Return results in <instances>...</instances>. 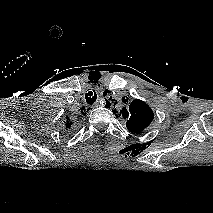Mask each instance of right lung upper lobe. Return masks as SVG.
Here are the masks:
<instances>
[{"label": "right lung upper lobe", "mask_w": 213, "mask_h": 213, "mask_svg": "<svg viewBox=\"0 0 213 213\" xmlns=\"http://www.w3.org/2000/svg\"><path fill=\"white\" fill-rule=\"evenodd\" d=\"M71 125H72V123H71L70 121H67V122H66V128H67V129L70 128Z\"/></svg>", "instance_id": "obj_1"}]
</instances>
